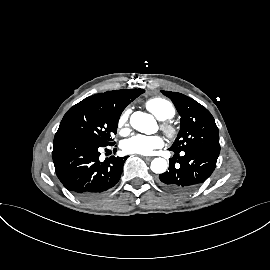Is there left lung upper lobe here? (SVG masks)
I'll return each instance as SVG.
<instances>
[{"mask_svg":"<svg viewBox=\"0 0 270 270\" xmlns=\"http://www.w3.org/2000/svg\"><path fill=\"white\" fill-rule=\"evenodd\" d=\"M181 116L178 136L169 148L173 152L202 150L220 153L219 131L211 113L192 98L177 92L162 91Z\"/></svg>","mask_w":270,"mask_h":270,"instance_id":"obj_1","label":"left lung upper lobe"}]
</instances>
